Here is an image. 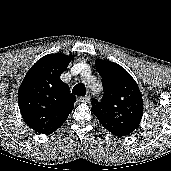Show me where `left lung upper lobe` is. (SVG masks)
Returning a JSON list of instances; mask_svg holds the SVG:
<instances>
[{
  "label": "left lung upper lobe",
  "instance_id": "obj_1",
  "mask_svg": "<svg viewBox=\"0 0 171 171\" xmlns=\"http://www.w3.org/2000/svg\"><path fill=\"white\" fill-rule=\"evenodd\" d=\"M96 67L104 94L100 101L92 100V112L109 132L130 134L143 115V99L137 83L123 67L111 61L97 59Z\"/></svg>",
  "mask_w": 171,
  "mask_h": 171
}]
</instances>
